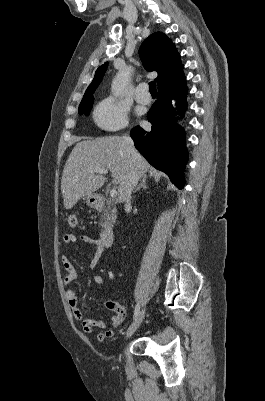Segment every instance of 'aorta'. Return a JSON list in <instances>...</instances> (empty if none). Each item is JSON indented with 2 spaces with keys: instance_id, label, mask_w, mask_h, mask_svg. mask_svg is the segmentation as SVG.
<instances>
[{
  "instance_id": "762f6f07",
  "label": "aorta",
  "mask_w": 265,
  "mask_h": 401,
  "mask_svg": "<svg viewBox=\"0 0 265 401\" xmlns=\"http://www.w3.org/2000/svg\"><path fill=\"white\" fill-rule=\"evenodd\" d=\"M131 72H133L132 66H127L125 70H119V72H117L111 84V92L114 96H123L125 84H127Z\"/></svg>"
}]
</instances>
